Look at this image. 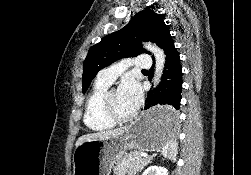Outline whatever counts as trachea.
I'll return each instance as SVG.
<instances>
[{
  "mask_svg": "<svg viewBox=\"0 0 251 175\" xmlns=\"http://www.w3.org/2000/svg\"><path fill=\"white\" fill-rule=\"evenodd\" d=\"M142 72H148V70H141Z\"/></svg>",
  "mask_w": 251,
  "mask_h": 175,
  "instance_id": "3493384b",
  "label": "trachea"
}]
</instances>
